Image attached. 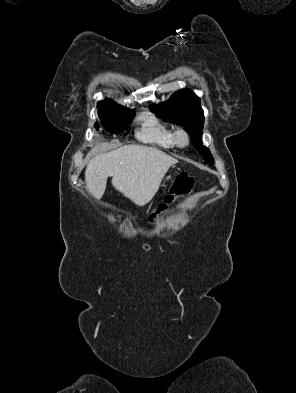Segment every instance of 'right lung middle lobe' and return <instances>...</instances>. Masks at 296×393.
Masks as SVG:
<instances>
[{
	"label": "right lung middle lobe",
	"instance_id": "dd1d6c3e",
	"mask_svg": "<svg viewBox=\"0 0 296 393\" xmlns=\"http://www.w3.org/2000/svg\"><path fill=\"white\" fill-rule=\"evenodd\" d=\"M98 107V116L101 124L112 134H118L125 130L135 116L134 110L124 108L115 102L98 104ZM96 129H99L98 125H96Z\"/></svg>",
	"mask_w": 296,
	"mask_h": 393
}]
</instances>
